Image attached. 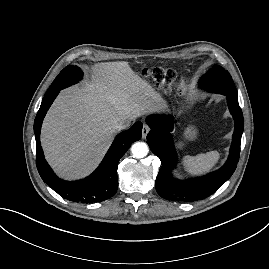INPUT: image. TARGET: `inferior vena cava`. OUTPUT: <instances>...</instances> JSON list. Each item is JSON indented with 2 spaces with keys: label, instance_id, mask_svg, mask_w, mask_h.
<instances>
[{
  "label": "inferior vena cava",
  "instance_id": "1",
  "mask_svg": "<svg viewBox=\"0 0 269 269\" xmlns=\"http://www.w3.org/2000/svg\"><path fill=\"white\" fill-rule=\"evenodd\" d=\"M130 123H131V120L122 121V122L118 123L117 129L118 130L126 129L130 126Z\"/></svg>",
  "mask_w": 269,
  "mask_h": 269
}]
</instances>
